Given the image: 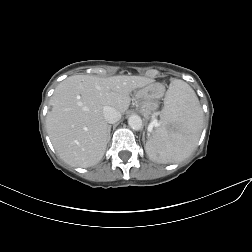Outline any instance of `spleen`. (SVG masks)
<instances>
[{"mask_svg":"<svg viewBox=\"0 0 252 252\" xmlns=\"http://www.w3.org/2000/svg\"><path fill=\"white\" fill-rule=\"evenodd\" d=\"M162 124L145 144L148 156L159 163H174L195 149L203 125V112L194 90L176 79L164 98ZM171 125L173 131L167 129Z\"/></svg>","mask_w":252,"mask_h":252,"instance_id":"obj_1","label":"spleen"}]
</instances>
